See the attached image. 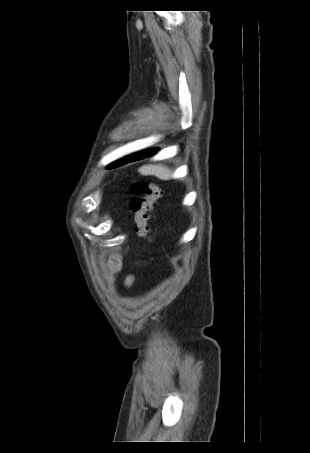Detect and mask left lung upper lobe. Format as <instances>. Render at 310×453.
Listing matches in <instances>:
<instances>
[{
  "label": "left lung upper lobe",
  "instance_id": "obj_1",
  "mask_svg": "<svg viewBox=\"0 0 310 453\" xmlns=\"http://www.w3.org/2000/svg\"><path fill=\"white\" fill-rule=\"evenodd\" d=\"M135 154H132V155H129V156H126L118 161H116L115 163H113L111 166H109L108 168H115V167H118V166H121V165H124L126 163H129L131 161V158L134 156Z\"/></svg>",
  "mask_w": 310,
  "mask_h": 453
}]
</instances>
